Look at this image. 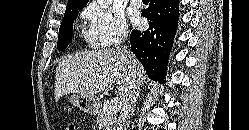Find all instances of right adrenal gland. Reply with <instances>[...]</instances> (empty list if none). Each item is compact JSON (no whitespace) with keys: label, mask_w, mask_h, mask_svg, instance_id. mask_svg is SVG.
Segmentation results:
<instances>
[{"label":"right adrenal gland","mask_w":249,"mask_h":130,"mask_svg":"<svg viewBox=\"0 0 249 130\" xmlns=\"http://www.w3.org/2000/svg\"><path fill=\"white\" fill-rule=\"evenodd\" d=\"M138 96H139V94H137V96H136V98H135V101H134V103H133V105H132V112L134 111L136 99L138 98Z\"/></svg>","instance_id":"obj_1"}]
</instances>
